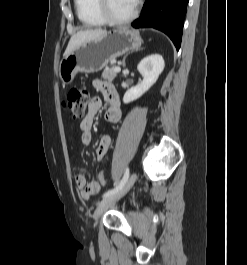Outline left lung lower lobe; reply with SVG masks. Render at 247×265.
Returning a JSON list of instances; mask_svg holds the SVG:
<instances>
[{"mask_svg":"<svg viewBox=\"0 0 247 265\" xmlns=\"http://www.w3.org/2000/svg\"><path fill=\"white\" fill-rule=\"evenodd\" d=\"M189 0H146L134 28H155L167 34L179 50Z\"/></svg>","mask_w":247,"mask_h":265,"instance_id":"obj_1","label":"left lung lower lobe"}]
</instances>
